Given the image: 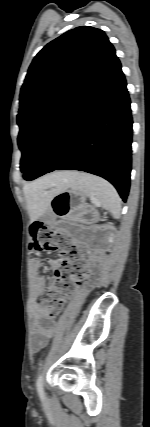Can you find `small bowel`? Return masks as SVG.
Here are the masks:
<instances>
[{"label":"small bowel","instance_id":"c3829d8e","mask_svg":"<svg viewBox=\"0 0 150 427\" xmlns=\"http://www.w3.org/2000/svg\"><path fill=\"white\" fill-rule=\"evenodd\" d=\"M47 263L52 268H57L60 264L58 260L48 259ZM32 270L34 273V284L37 294H41L46 287V279L39 275L41 260L35 258L32 260ZM35 326L32 333L31 348L37 352L44 348L50 338L55 334L54 327L47 324L49 320V312L45 308H37L34 313Z\"/></svg>","mask_w":150,"mask_h":427}]
</instances>
